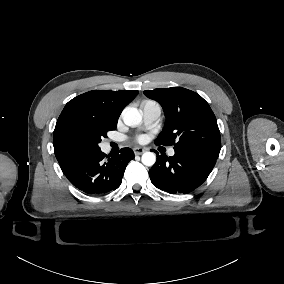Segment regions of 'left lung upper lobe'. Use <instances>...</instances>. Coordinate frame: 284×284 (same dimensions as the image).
<instances>
[{"label": "left lung upper lobe", "instance_id": "obj_1", "mask_svg": "<svg viewBox=\"0 0 284 284\" xmlns=\"http://www.w3.org/2000/svg\"><path fill=\"white\" fill-rule=\"evenodd\" d=\"M144 94L162 106L166 122L156 145L204 153L217 159L221 149L220 131L209 104L197 93L182 88H158Z\"/></svg>", "mask_w": 284, "mask_h": 284}]
</instances>
